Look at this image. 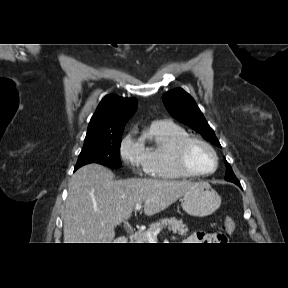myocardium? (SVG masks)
I'll return each mask as SVG.
<instances>
[{
    "mask_svg": "<svg viewBox=\"0 0 288 288\" xmlns=\"http://www.w3.org/2000/svg\"><path fill=\"white\" fill-rule=\"evenodd\" d=\"M193 144H200L211 152L215 160V165L212 171L210 172L197 171L189 164L187 154H188V150L190 146ZM175 157H176V162L179 168L186 174L194 176V177L211 176L218 170V167H219V157H218L216 150L213 148V146L210 143L196 136L188 135L184 137L183 139H181L176 145Z\"/></svg>",
    "mask_w": 288,
    "mask_h": 288,
    "instance_id": "f54148a6",
    "label": "myocardium"
}]
</instances>
